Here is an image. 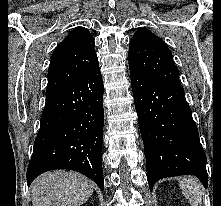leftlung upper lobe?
I'll list each match as a JSON object with an SVG mask.
<instances>
[{
    "label": "left lung upper lobe",
    "instance_id": "obj_1",
    "mask_svg": "<svg viewBox=\"0 0 221 206\" xmlns=\"http://www.w3.org/2000/svg\"><path fill=\"white\" fill-rule=\"evenodd\" d=\"M130 74L181 87L178 69L165 42L146 28L133 35L129 45Z\"/></svg>",
    "mask_w": 221,
    "mask_h": 206
}]
</instances>
